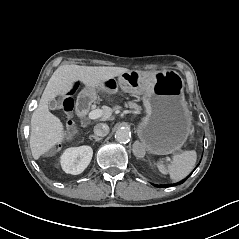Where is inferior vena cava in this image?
Segmentation results:
<instances>
[{
	"instance_id": "602c4592",
	"label": "inferior vena cava",
	"mask_w": 239,
	"mask_h": 239,
	"mask_svg": "<svg viewBox=\"0 0 239 239\" xmlns=\"http://www.w3.org/2000/svg\"><path fill=\"white\" fill-rule=\"evenodd\" d=\"M94 133L96 136H106L109 133V127L107 124H97L94 127Z\"/></svg>"
}]
</instances>
